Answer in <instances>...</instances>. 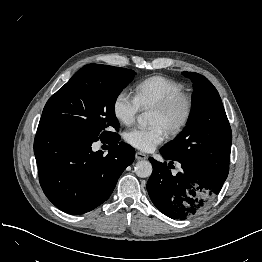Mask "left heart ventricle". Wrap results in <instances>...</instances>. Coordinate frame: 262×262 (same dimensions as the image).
<instances>
[{"label":"left heart ventricle","instance_id":"left-heart-ventricle-1","mask_svg":"<svg viewBox=\"0 0 262 262\" xmlns=\"http://www.w3.org/2000/svg\"><path fill=\"white\" fill-rule=\"evenodd\" d=\"M180 116V110H176L170 115H163L156 110H152L151 124H161L165 129L168 128L169 125L174 123L178 117Z\"/></svg>","mask_w":262,"mask_h":262}]
</instances>
